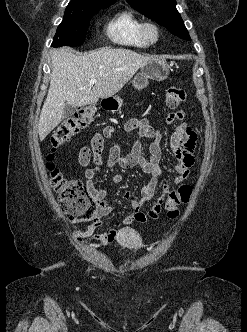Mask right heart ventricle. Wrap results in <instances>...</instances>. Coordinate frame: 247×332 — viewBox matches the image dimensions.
Wrapping results in <instances>:
<instances>
[{"label": "right heart ventricle", "mask_w": 247, "mask_h": 332, "mask_svg": "<svg viewBox=\"0 0 247 332\" xmlns=\"http://www.w3.org/2000/svg\"><path fill=\"white\" fill-rule=\"evenodd\" d=\"M143 21L132 11L123 10L117 13L105 27L109 39L120 46L146 48L149 44L140 33Z\"/></svg>", "instance_id": "right-heart-ventricle-1"}]
</instances>
